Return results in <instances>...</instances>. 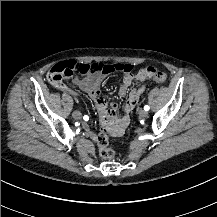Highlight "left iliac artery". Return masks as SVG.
I'll list each match as a JSON object with an SVG mask.
<instances>
[{"label":"left iliac artery","mask_w":217,"mask_h":217,"mask_svg":"<svg viewBox=\"0 0 217 217\" xmlns=\"http://www.w3.org/2000/svg\"><path fill=\"white\" fill-rule=\"evenodd\" d=\"M149 109H150V107H149L148 105H145V106H144V110H145V111H148Z\"/></svg>","instance_id":"obj_1"}]
</instances>
